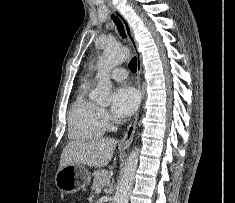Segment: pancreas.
Wrapping results in <instances>:
<instances>
[{"label": "pancreas", "mask_w": 235, "mask_h": 203, "mask_svg": "<svg viewBox=\"0 0 235 203\" xmlns=\"http://www.w3.org/2000/svg\"><path fill=\"white\" fill-rule=\"evenodd\" d=\"M93 190L109 184L111 175L107 170H96L93 172Z\"/></svg>", "instance_id": "1"}]
</instances>
